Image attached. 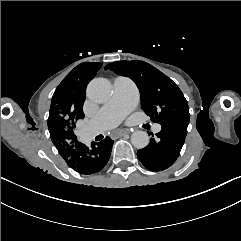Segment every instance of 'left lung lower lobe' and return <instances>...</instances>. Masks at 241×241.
<instances>
[{
	"label": "left lung lower lobe",
	"mask_w": 241,
	"mask_h": 241,
	"mask_svg": "<svg viewBox=\"0 0 241 241\" xmlns=\"http://www.w3.org/2000/svg\"><path fill=\"white\" fill-rule=\"evenodd\" d=\"M189 122H167L156 134L157 140L151 138L147 147L137 151L138 159L151 171H161L171 166L178 158L187 134Z\"/></svg>",
	"instance_id": "obj_1"
}]
</instances>
